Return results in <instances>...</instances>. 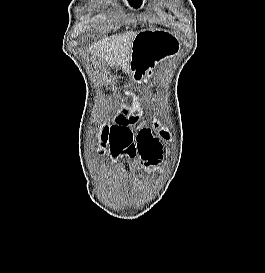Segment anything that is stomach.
I'll use <instances>...</instances> for the list:
<instances>
[{"label":"stomach","instance_id":"0dacf381","mask_svg":"<svg viewBox=\"0 0 265 273\" xmlns=\"http://www.w3.org/2000/svg\"><path fill=\"white\" fill-rule=\"evenodd\" d=\"M179 47L177 39L160 29L138 32L132 43L130 66L136 82L153 74L157 66L173 56Z\"/></svg>","mask_w":265,"mask_h":273}]
</instances>
